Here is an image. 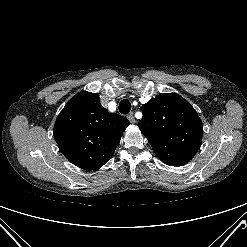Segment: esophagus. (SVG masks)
<instances>
[{
	"label": "esophagus",
	"mask_w": 247,
	"mask_h": 247,
	"mask_svg": "<svg viewBox=\"0 0 247 247\" xmlns=\"http://www.w3.org/2000/svg\"><path fill=\"white\" fill-rule=\"evenodd\" d=\"M127 118L129 119V121H130L131 123H135V117H134L133 114H129V115L127 116Z\"/></svg>",
	"instance_id": "esophagus-1"
}]
</instances>
